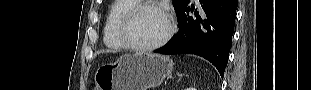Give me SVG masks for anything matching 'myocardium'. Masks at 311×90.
I'll return each instance as SVG.
<instances>
[{
	"mask_svg": "<svg viewBox=\"0 0 311 90\" xmlns=\"http://www.w3.org/2000/svg\"><path fill=\"white\" fill-rule=\"evenodd\" d=\"M152 8L161 11L168 22V29L164 36L157 42L150 45H138L129 35V27L132 24L135 17L144 9ZM176 29V23L173 14L163 5L156 2H139L130 8L120 19L118 26V35L126 48L135 52H149L160 48L165 45L173 36Z\"/></svg>",
	"mask_w": 311,
	"mask_h": 90,
	"instance_id": "myocardium-1",
	"label": "myocardium"
}]
</instances>
